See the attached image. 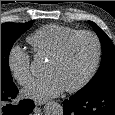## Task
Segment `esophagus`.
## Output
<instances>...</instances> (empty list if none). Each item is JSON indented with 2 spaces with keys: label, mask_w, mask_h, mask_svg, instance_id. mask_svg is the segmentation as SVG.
Segmentation results:
<instances>
[{
  "label": "esophagus",
  "mask_w": 115,
  "mask_h": 115,
  "mask_svg": "<svg viewBox=\"0 0 115 115\" xmlns=\"http://www.w3.org/2000/svg\"><path fill=\"white\" fill-rule=\"evenodd\" d=\"M45 102H46L45 100H35L34 101L36 106H41V105L45 104Z\"/></svg>",
  "instance_id": "obj_1"
}]
</instances>
